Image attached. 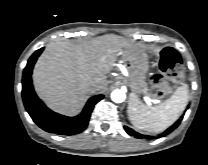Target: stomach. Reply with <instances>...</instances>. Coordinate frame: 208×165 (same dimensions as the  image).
<instances>
[{"mask_svg": "<svg viewBox=\"0 0 208 165\" xmlns=\"http://www.w3.org/2000/svg\"><path fill=\"white\" fill-rule=\"evenodd\" d=\"M123 61L129 64V78H120L127 83L132 94L138 97L147 94L146 73L148 71V57L138 48L124 49L122 52Z\"/></svg>", "mask_w": 208, "mask_h": 165, "instance_id": "stomach-1", "label": "stomach"}]
</instances>
